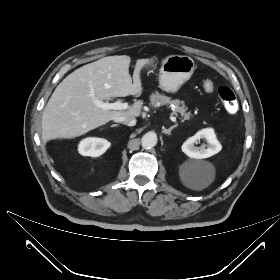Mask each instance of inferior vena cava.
Here are the masks:
<instances>
[{"label":"inferior vena cava","instance_id":"inferior-vena-cava-1","mask_svg":"<svg viewBox=\"0 0 280 280\" xmlns=\"http://www.w3.org/2000/svg\"><path fill=\"white\" fill-rule=\"evenodd\" d=\"M117 123H122L127 126H135L136 125V119L134 117H126V116H120L114 119Z\"/></svg>","mask_w":280,"mask_h":280}]
</instances>
